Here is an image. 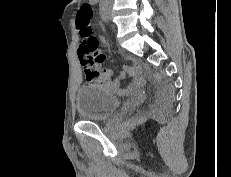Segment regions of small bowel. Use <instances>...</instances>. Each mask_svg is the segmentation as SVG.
Returning a JSON list of instances; mask_svg holds the SVG:
<instances>
[{"label": "small bowel", "mask_w": 231, "mask_h": 177, "mask_svg": "<svg viewBox=\"0 0 231 177\" xmlns=\"http://www.w3.org/2000/svg\"><path fill=\"white\" fill-rule=\"evenodd\" d=\"M95 3L96 2L89 0L90 5ZM76 23H77V19H76ZM84 70L86 73L85 68ZM95 70L97 71V74L95 75L90 76L86 74L87 82L91 84H98L104 86L107 89L116 92L119 95H127L130 93H135L145 83V79L141 74V67L137 63L131 66H125L122 73L119 76H116L112 70H108V69L97 70L96 68ZM125 75L130 76L132 78V81L129 83L127 87L123 88L121 87L120 82L122 77H124Z\"/></svg>", "instance_id": "c3829d8e"}]
</instances>
